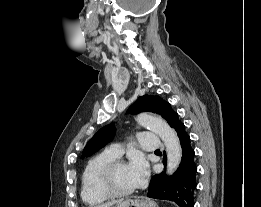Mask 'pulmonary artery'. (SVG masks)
I'll list each match as a JSON object with an SVG mask.
<instances>
[{
    "label": "pulmonary artery",
    "instance_id": "e3ab8cb5",
    "mask_svg": "<svg viewBox=\"0 0 261 207\" xmlns=\"http://www.w3.org/2000/svg\"><path fill=\"white\" fill-rule=\"evenodd\" d=\"M138 139L140 147L145 151H156L163 148L162 141L155 133L140 132ZM105 151L115 158H119L123 154V148L119 144L110 145Z\"/></svg>",
    "mask_w": 261,
    "mask_h": 207
}]
</instances>
